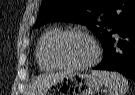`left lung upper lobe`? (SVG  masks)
Returning <instances> with one entry per match:
<instances>
[{"label": "left lung upper lobe", "mask_w": 135, "mask_h": 95, "mask_svg": "<svg viewBox=\"0 0 135 95\" xmlns=\"http://www.w3.org/2000/svg\"><path fill=\"white\" fill-rule=\"evenodd\" d=\"M135 14V0H44L36 27L53 21L85 25L101 44ZM101 16V20L97 17ZM111 29V31H109Z\"/></svg>", "instance_id": "obj_1"}]
</instances>
